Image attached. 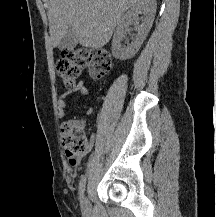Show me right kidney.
Returning a JSON list of instances; mask_svg holds the SVG:
<instances>
[{
  "label": "right kidney",
  "mask_w": 216,
  "mask_h": 217,
  "mask_svg": "<svg viewBox=\"0 0 216 217\" xmlns=\"http://www.w3.org/2000/svg\"><path fill=\"white\" fill-rule=\"evenodd\" d=\"M156 0H139L120 19L112 39V54L115 58L126 60L132 58L140 49L145 40L156 13ZM139 14H143L142 23L139 24ZM134 25L137 31L133 42L126 47L121 45L129 26Z\"/></svg>",
  "instance_id": "1"
}]
</instances>
